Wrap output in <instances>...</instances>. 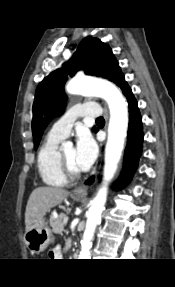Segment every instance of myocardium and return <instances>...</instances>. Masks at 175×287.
Wrapping results in <instances>:
<instances>
[{
	"mask_svg": "<svg viewBox=\"0 0 175 287\" xmlns=\"http://www.w3.org/2000/svg\"><path fill=\"white\" fill-rule=\"evenodd\" d=\"M59 162L63 173L68 179H77L80 177L81 170L71 167L63 153V150H59Z\"/></svg>",
	"mask_w": 175,
	"mask_h": 287,
	"instance_id": "obj_1",
	"label": "myocardium"
}]
</instances>
